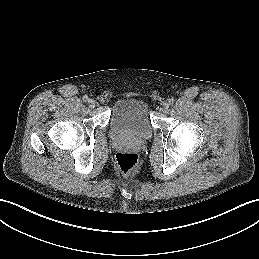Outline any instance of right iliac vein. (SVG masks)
I'll use <instances>...</instances> for the list:
<instances>
[{"label":"right iliac vein","instance_id":"1","mask_svg":"<svg viewBox=\"0 0 259 259\" xmlns=\"http://www.w3.org/2000/svg\"><path fill=\"white\" fill-rule=\"evenodd\" d=\"M88 103H89V106H90L91 108L95 107V100L90 99V100L88 101Z\"/></svg>","mask_w":259,"mask_h":259}]
</instances>
